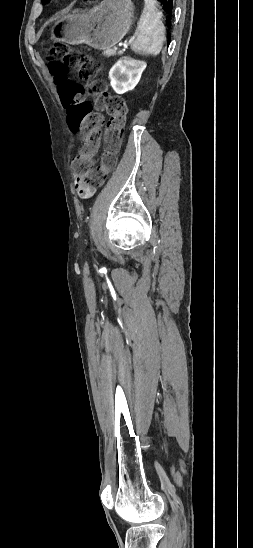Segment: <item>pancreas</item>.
<instances>
[{
  "label": "pancreas",
  "instance_id": "obj_1",
  "mask_svg": "<svg viewBox=\"0 0 253 548\" xmlns=\"http://www.w3.org/2000/svg\"><path fill=\"white\" fill-rule=\"evenodd\" d=\"M104 55L107 56V57H110V56L116 55V52H115L114 50H111V49H110V50H106V51L104 52Z\"/></svg>",
  "mask_w": 253,
  "mask_h": 548
}]
</instances>
